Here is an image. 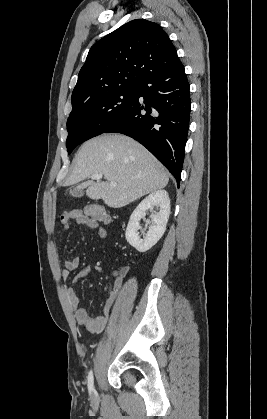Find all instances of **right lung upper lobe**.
Wrapping results in <instances>:
<instances>
[{
  "instance_id": "cb5924a9",
  "label": "right lung upper lobe",
  "mask_w": 267,
  "mask_h": 419,
  "mask_svg": "<svg viewBox=\"0 0 267 419\" xmlns=\"http://www.w3.org/2000/svg\"><path fill=\"white\" fill-rule=\"evenodd\" d=\"M177 61L176 49L160 25L132 20L91 47L72 93V105L97 93L139 87L149 75Z\"/></svg>"
}]
</instances>
